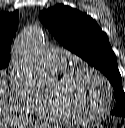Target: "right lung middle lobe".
<instances>
[{
    "label": "right lung middle lobe",
    "mask_w": 125,
    "mask_h": 128,
    "mask_svg": "<svg viewBox=\"0 0 125 128\" xmlns=\"http://www.w3.org/2000/svg\"><path fill=\"white\" fill-rule=\"evenodd\" d=\"M9 65V61H0V69H5Z\"/></svg>",
    "instance_id": "obj_1"
}]
</instances>
